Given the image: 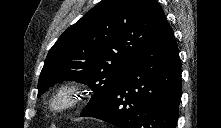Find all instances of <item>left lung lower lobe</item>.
Masks as SVG:
<instances>
[{
    "label": "left lung lower lobe",
    "mask_w": 221,
    "mask_h": 128,
    "mask_svg": "<svg viewBox=\"0 0 221 128\" xmlns=\"http://www.w3.org/2000/svg\"><path fill=\"white\" fill-rule=\"evenodd\" d=\"M181 65L167 23L100 106L82 113L119 128H175L181 99Z\"/></svg>",
    "instance_id": "obj_1"
}]
</instances>
